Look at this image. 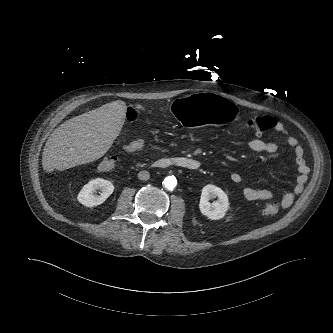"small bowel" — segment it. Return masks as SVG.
I'll use <instances>...</instances> for the list:
<instances>
[{
	"instance_id": "obj_1",
	"label": "small bowel",
	"mask_w": 333,
	"mask_h": 333,
	"mask_svg": "<svg viewBox=\"0 0 333 333\" xmlns=\"http://www.w3.org/2000/svg\"><path fill=\"white\" fill-rule=\"evenodd\" d=\"M273 120L274 126L272 129L275 132L281 134L284 137L287 145L293 150L298 171V176L296 178V184L294 188L285 193L281 199V206L283 208H287L293 203L295 197L301 192L308 174V167L305 163L303 147L300 145L298 139L287 131L285 125L281 121H276L275 119ZM232 145L238 148L248 149L255 153L264 154L275 153L279 148L277 142L264 141L258 137L247 140L234 141ZM144 147L145 140L143 138H136L127 145L126 149L130 153H141ZM230 180L235 184H240L243 182V177L240 173L233 172L230 174ZM242 193L243 196L251 202L271 200L274 198L273 192L267 189L243 187Z\"/></svg>"
}]
</instances>
